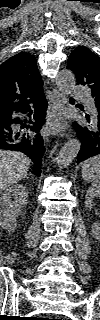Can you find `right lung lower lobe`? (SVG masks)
Instances as JSON below:
<instances>
[{"label": "right lung lower lobe", "mask_w": 100, "mask_h": 320, "mask_svg": "<svg viewBox=\"0 0 100 320\" xmlns=\"http://www.w3.org/2000/svg\"><path fill=\"white\" fill-rule=\"evenodd\" d=\"M31 103L34 104L32 120L28 121V125H22L21 129H18L15 124L22 123V120L13 117V113H29ZM46 108L47 102L44 94L41 93L30 103L22 104L8 116L0 118V149L16 150L26 154L35 164L32 173L36 176H40L42 157L45 152L40 129L45 123Z\"/></svg>", "instance_id": "right-lung-lower-lobe-1"}]
</instances>
